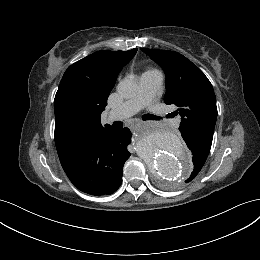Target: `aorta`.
Wrapping results in <instances>:
<instances>
[{"instance_id": "762f6f07", "label": "aorta", "mask_w": 260, "mask_h": 260, "mask_svg": "<svg viewBox=\"0 0 260 260\" xmlns=\"http://www.w3.org/2000/svg\"><path fill=\"white\" fill-rule=\"evenodd\" d=\"M138 83L131 78L121 80L117 90L124 98L136 95ZM137 150L147 161L155 177L164 181L185 178L191 170L190 156L180 138L162 125L145 124L141 127Z\"/></svg>"}]
</instances>
